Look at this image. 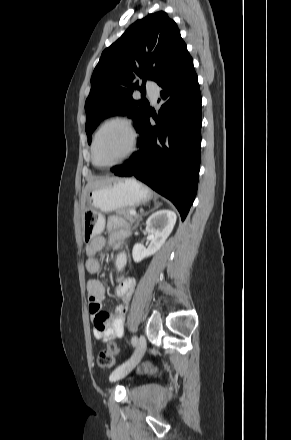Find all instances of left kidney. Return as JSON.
Returning <instances> with one entry per match:
<instances>
[{"mask_svg": "<svg viewBox=\"0 0 291 440\" xmlns=\"http://www.w3.org/2000/svg\"><path fill=\"white\" fill-rule=\"evenodd\" d=\"M177 216L174 211L162 209L156 211L147 219L145 230L151 234L152 240L146 248L140 243L133 247L132 256L136 263L155 254L165 243L176 223Z\"/></svg>", "mask_w": 291, "mask_h": 440, "instance_id": "left-kidney-1", "label": "left kidney"}]
</instances>
